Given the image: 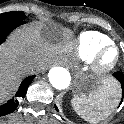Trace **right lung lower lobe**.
<instances>
[{
    "label": "right lung lower lobe",
    "mask_w": 124,
    "mask_h": 124,
    "mask_svg": "<svg viewBox=\"0 0 124 124\" xmlns=\"http://www.w3.org/2000/svg\"><path fill=\"white\" fill-rule=\"evenodd\" d=\"M24 23H25L24 21L1 20L0 21V44H2L5 41L7 35L11 31H13L14 29H16L17 27H19L20 25H22ZM34 77H35V75L25 78L22 81V83L15 95V98H12L7 103L0 106V116L7 115V114L13 112L17 108V106H18L17 98L24 97L26 95L27 88L30 85V83L32 82V80L34 79Z\"/></svg>",
    "instance_id": "98d812e1"
}]
</instances>
